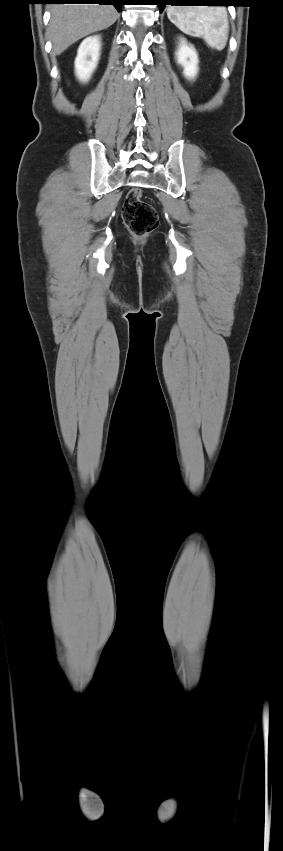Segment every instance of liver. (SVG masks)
<instances>
[{"mask_svg": "<svg viewBox=\"0 0 283 851\" xmlns=\"http://www.w3.org/2000/svg\"><path fill=\"white\" fill-rule=\"evenodd\" d=\"M117 18L118 12L112 5H52L48 28L52 54L60 55L87 35L107 29Z\"/></svg>", "mask_w": 283, "mask_h": 851, "instance_id": "6515ba94", "label": "liver"}]
</instances>
